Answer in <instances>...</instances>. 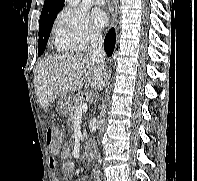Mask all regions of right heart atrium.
<instances>
[{
  "instance_id": "right-heart-atrium-1",
  "label": "right heart atrium",
  "mask_w": 197,
  "mask_h": 181,
  "mask_svg": "<svg viewBox=\"0 0 197 181\" xmlns=\"http://www.w3.org/2000/svg\"><path fill=\"white\" fill-rule=\"evenodd\" d=\"M55 30L66 39L70 48L77 52L87 51L101 39L100 32L89 22L86 14L69 7L58 14Z\"/></svg>"
}]
</instances>
